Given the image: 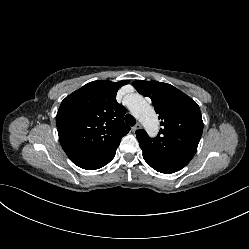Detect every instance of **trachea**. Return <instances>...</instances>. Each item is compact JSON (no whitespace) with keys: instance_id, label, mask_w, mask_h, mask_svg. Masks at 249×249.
Segmentation results:
<instances>
[{"instance_id":"1","label":"trachea","mask_w":249,"mask_h":249,"mask_svg":"<svg viewBox=\"0 0 249 249\" xmlns=\"http://www.w3.org/2000/svg\"><path fill=\"white\" fill-rule=\"evenodd\" d=\"M125 121L129 126H134L136 123V119L131 114L125 116Z\"/></svg>"}]
</instances>
